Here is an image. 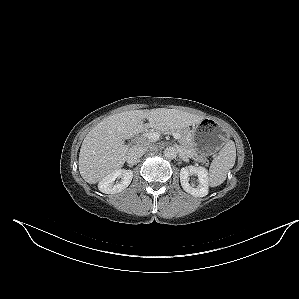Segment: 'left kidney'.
<instances>
[{
  "instance_id": "1",
  "label": "left kidney",
  "mask_w": 299,
  "mask_h": 299,
  "mask_svg": "<svg viewBox=\"0 0 299 299\" xmlns=\"http://www.w3.org/2000/svg\"><path fill=\"white\" fill-rule=\"evenodd\" d=\"M195 174L198 176V185L193 186L189 183V176ZM181 186L187 193L194 197H204L208 194L209 177L205 167L188 166L180 170Z\"/></svg>"
}]
</instances>
